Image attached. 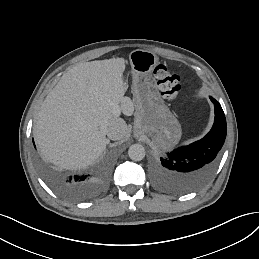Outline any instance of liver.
Wrapping results in <instances>:
<instances>
[{
    "instance_id": "6515ba94",
    "label": "liver",
    "mask_w": 259,
    "mask_h": 259,
    "mask_svg": "<svg viewBox=\"0 0 259 259\" xmlns=\"http://www.w3.org/2000/svg\"><path fill=\"white\" fill-rule=\"evenodd\" d=\"M123 58L93 61L64 73L48 93L33 125L41 157L63 168H81L95 161L109 139L100 126L131 116L124 97Z\"/></svg>"
}]
</instances>
